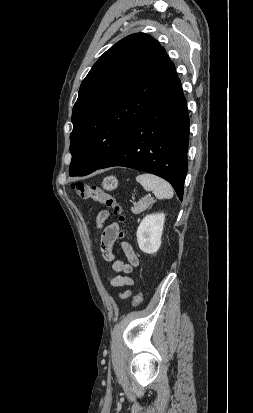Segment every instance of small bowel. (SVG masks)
Returning <instances> with one entry per match:
<instances>
[{"label":"small bowel","instance_id":"obj_1","mask_svg":"<svg viewBox=\"0 0 253 413\" xmlns=\"http://www.w3.org/2000/svg\"><path fill=\"white\" fill-rule=\"evenodd\" d=\"M109 218V212L106 210L101 211L96 219L97 227L101 230L100 237V249L104 259L108 262H112V270L116 273L115 276L110 278L111 285L115 287H122L127 285H132L133 280L128 276L134 267L138 266L139 259L134 252L132 246L127 243H122V249L127 258V262L122 260H115L113 253V245L118 238L119 225L113 222L109 225H105V222ZM131 292L126 290L124 292L118 293L119 298L126 299L130 296Z\"/></svg>","mask_w":253,"mask_h":413}]
</instances>
